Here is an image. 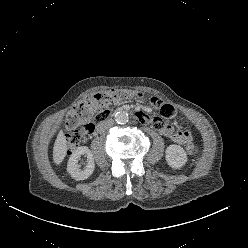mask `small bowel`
<instances>
[{
  "label": "small bowel",
  "instance_id": "1",
  "mask_svg": "<svg viewBox=\"0 0 248 248\" xmlns=\"http://www.w3.org/2000/svg\"><path fill=\"white\" fill-rule=\"evenodd\" d=\"M149 107L153 108L159 117H151L143 113L142 120L144 123H151L152 127L160 131V133L173 142L184 145L192 141V135L188 131H177L167 121L177 120L180 112L170 102L160 100L157 97H151L148 100Z\"/></svg>",
  "mask_w": 248,
  "mask_h": 248
}]
</instances>
